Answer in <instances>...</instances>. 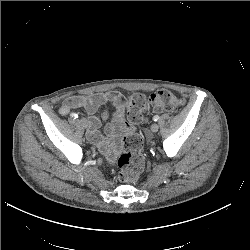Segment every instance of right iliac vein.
Masks as SVG:
<instances>
[{
    "instance_id": "1",
    "label": "right iliac vein",
    "mask_w": 250,
    "mask_h": 250,
    "mask_svg": "<svg viewBox=\"0 0 250 250\" xmlns=\"http://www.w3.org/2000/svg\"><path fill=\"white\" fill-rule=\"evenodd\" d=\"M79 123L84 127L87 128L88 127V120L86 118H81L79 119Z\"/></svg>"
}]
</instances>
